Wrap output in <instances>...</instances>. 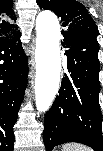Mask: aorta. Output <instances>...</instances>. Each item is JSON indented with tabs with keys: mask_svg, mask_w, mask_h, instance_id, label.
I'll list each match as a JSON object with an SVG mask.
<instances>
[{
	"mask_svg": "<svg viewBox=\"0 0 103 151\" xmlns=\"http://www.w3.org/2000/svg\"><path fill=\"white\" fill-rule=\"evenodd\" d=\"M36 32L35 103L39 112H46L55 99L60 81V25L57 16L51 11L40 12L36 18Z\"/></svg>",
	"mask_w": 103,
	"mask_h": 151,
	"instance_id": "762f6f07",
	"label": "aorta"
}]
</instances>
